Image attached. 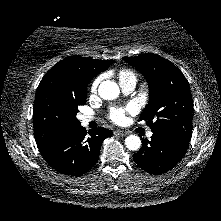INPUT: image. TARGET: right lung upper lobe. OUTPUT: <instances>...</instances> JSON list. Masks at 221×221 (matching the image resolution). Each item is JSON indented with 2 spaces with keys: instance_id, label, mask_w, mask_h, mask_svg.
<instances>
[{
  "instance_id": "right-lung-upper-lobe-1",
  "label": "right lung upper lobe",
  "mask_w": 221,
  "mask_h": 221,
  "mask_svg": "<svg viewBox=\"0 0 221 221\" xmlns=\"http://www.w3.org/2000/svg\"><path fill=\"white\" fill-rule=\"evenodd\" d=\"M114 60H97L78 56L64 58L53 66L41 80L37 92L46 88L79 95L87 92V85L97 74L108 68ZM57 137L41 141L35 138L41 148Z\"/></svg>"
}]
</instances>
